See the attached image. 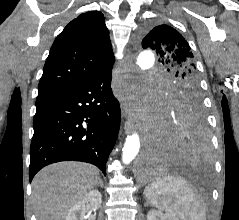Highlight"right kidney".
Returning a JSON list of instances; mask_svg holds the SVG:
<instances>
[{
    "label": "right kidney",
    "instance_id": "1",
    "mask_svg": "<svg viewBox=\"0 0 239 220\" xmlns=\"http://www.w3.org/2000/svg\"><path fill=\"white\" fill-rule=\"evenodd\" d=\"M101 202L102 197L98 190L89 191L69 210L65 220H84L86 213V203H89L92 208L97 209Z\"/></svg>",
    "mask_w": 239,
    "mask_h": 220
}]
</instances>
